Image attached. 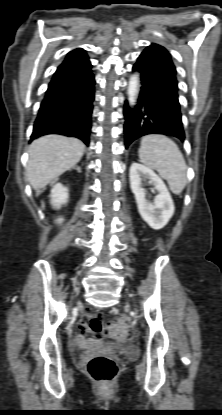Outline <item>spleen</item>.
Instances as JSON below:
<instances>
[{
    "mask_svg": "<svg viewBox=\"0 0 222 415\" xmlns=\"http://www.w3.org/2000/svg\"><path fill=\"white\" fill-rule=\"evenodd\" d=\"M140 161L155 169L168 182L170 190L179 195L187 183V166L177 144L164 135H147L139 149Z\"/></svg>",
    "mask_w": 222,
    "mask_h": 415,
    "instance_id": "spleen-1",
    "label": "spleen"
}]
</instances>
